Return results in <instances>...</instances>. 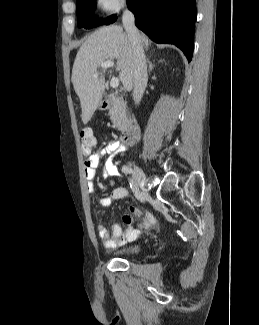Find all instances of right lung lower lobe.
Segmentation results:
<instances>
[{"mask_svg":"<svg viewBox=\"0 0 259 325\" xmlns=\"http://www.w3.org/2000/svg\"><path fill=\"white\" fill-rule=\"evenodd\" d=\"M127 5L139 29L157 43L175 44L191 61L195 0H127Z\"/></svg>","mask_w":259,"mask_h":325,"instance_id":"1","label":"right lung lower lobe"}]
</instances>
